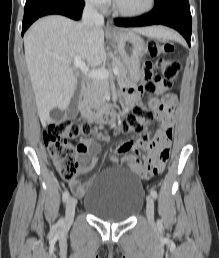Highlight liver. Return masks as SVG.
Listing matches in <instances>:
<instances>
[{
  "mask_svg": "<svg viewBox=\"0 0 219 258\" xmlns=\"http://www.w3.org/2000/svg\"><path fill=\"white\" fill-rule=\"evenodd\" d=\"M160 29L145 27L135 31L157 37ZM24 49L38 115L43 124L49 121L52 109L65 110L70 103L77 86V77L71 67L75 57L97 67L106 56L101 26L89 28L60 15L35 22L25 34Z\"/></svg>",
  "mask_w": 219,
  "mask_h": 258,
  "instance_id": "liver-1",
  "label": "liver"
}]
</instances>
